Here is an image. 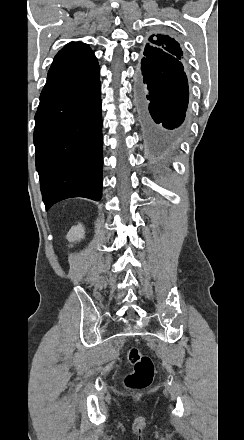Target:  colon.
Listing matches in <instances>:
<instances>
[{
    "label": "colon",
    "instance_id": "1",
    "mask_svg": "<svg viewBox=\"0 0 244 440\" xmlns=\"http://www.w3.org/2000/svg\"><path fill=\"white\" fill-rule=\"evenodd\" d=\"M127 361L129 363L136 364V373L139 375L129 376L125 379V385L134 388H145L149 386L153 378L152 374L155 372V368L147 355L140 353V351L131 346L126 354Z\"/></svg>",
    "mask_w": 244,
    "mask_h": 440
}]
</instances>
